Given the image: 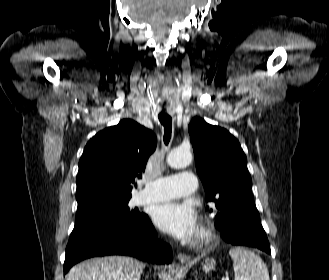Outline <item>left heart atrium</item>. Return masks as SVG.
<instances>
[{
  "mask_svg": "<svg viewBox=\"0 0 329 280\" xmlns=\"http://www.w3.org/2000/svg\"><path fill=\"white\" fill-rule=\"evenodd\" d=\"M153 219L162 231L181 240H192L198 234L194 209L182 202L170 201L156 207Z\"/></svg>",
  "mask_w": 329,
  "mask_h": 280,
  "instance_id": "1",
  "label": "left heart atrium"
}]
</instances>
